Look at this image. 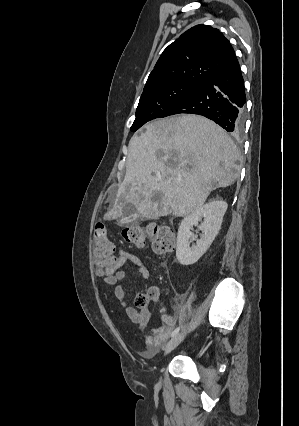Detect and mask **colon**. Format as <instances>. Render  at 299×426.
I'll return each mask as SVG.
<instances>
[{"mask_svg": "<svg viewBox=\"0 0 299 426\" xmlns=\"http://www.w3.org/2000/svg\"><path fill=\"white\" fill-rule=\"evenodd\" d=\"M123 238L136 246H145L150 243L157 253L173 251L175 236L173 231L165 225L150 224L146 226H130L122 231ZM95 255L104 265L110 266L115 260V246L108 238L107 228L103 223H96L93 231ZM149 302L147 295H139L135 299V305L145 307Z\"/></svg>", "mask_w": 299, "mask_h": 426, "instance_id": "colon-1", "label": "colon"}]
</instances>
